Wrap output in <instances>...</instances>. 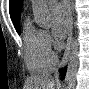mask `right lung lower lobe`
Here are the masks:
<instances>
[{
  "instance_id": "1",
  "label": "right lung lower lobe",
  "mask_w": 89,
  "mask_h": 89,
  "mask_svg": "<svg viewBox=\"0 0 89 89\" xmlns=\"http://www.w3.org/2000/svg\"><path fill=\"white\" fill-rule=\"evenodd\" d=\"M65 73H66V68H64V72H63V75H62V72H61V79L63 80L64 79V76H65Z\"/></svg>"
}]
</instances>
